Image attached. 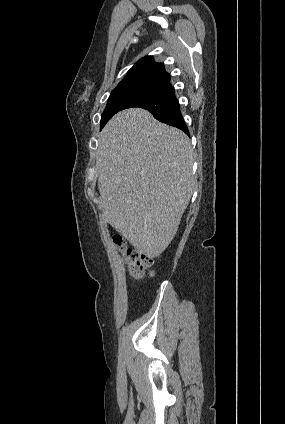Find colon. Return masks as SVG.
<instances>
[{"mask_svg":"<svg viewBox=\"0 0 285 424\" xmlns=\"http://www.w3.org/2000/svg\"><path fill=\"white\" fill-rule=\"evenodd\" d=\"M112 240L128 265L130 275L134 279H142L147 275H153V259L150 256L129 247L118 234L113 235Z\"/></svg>","mask_w":285,"mask_h":424,"instance_id":"5ec220e1","label":"colon"}]
</instances>
